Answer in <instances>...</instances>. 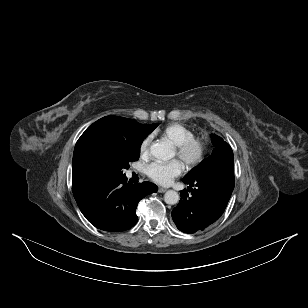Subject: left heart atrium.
I'll return each mask as SVG.
<instances>
[{
    "instance_id": "39dd6f15",
    "label": "left heart atrium",
    "mask_w": 308,
    "mask_h": 308,
    "mask_svg": "<svg viewBox=\"0 0 308 308\" xmlns=\"http://www.w3.org/2000/svg\"><path fill=\"white\" fill-rule=\"evenodd\" d=\"M184 170L183 164L179 160L171 162H153L146 168L147 176L154 182L167 185L173 178L179 176Z\"/></svg>"
}]
</instances>
